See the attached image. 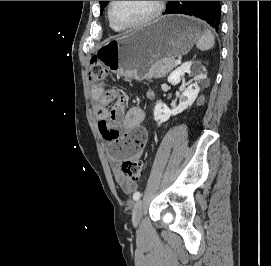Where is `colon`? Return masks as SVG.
<instances>
[{
  "label": "colon",
  "instance_id": "obj_1",
  "mask_svg": "<svg viewBox=\"0 0 271 266\" xmlns=\"http://www.w3.org/2000/svg\"><path fill=\"white\" fill-rule=\"evenodd\" d=\"M89 80L91 82H100L107 77L105 68L97 63L92 62L89 67ZM122 173L132 181H139L143 173L142 162L138 159H129L121 164Z\"/></svg>",
  "mask_w": 271,
  "mask_h": 266
}]
</instances>
